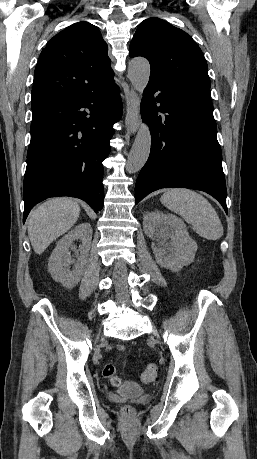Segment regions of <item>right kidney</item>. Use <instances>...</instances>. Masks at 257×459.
Listing matches in <instances>:
<instances>
[{
    "label": "right kidney",
    "mask_w": 257,
    "mask_h": 459,
    "mask_svg": "<svg viewBox=\"0 0 257 459\" xmlns=\"http://www.w3.org/2000/svg\"><path fill=\"white\" fill-rule=\"evenodd\" d=\"M75 240H81L82 242L79 246L80 256H78L76 262L69 252V248L73 247ZM91 240V225L82 223L58 241L48 262V270L55 281L60 282L66 288H73L78 284L87 264ZM71 264H74L72 271L69 269Z\"/></svg>",
    "instance_id": "1"
}]
</instances>
